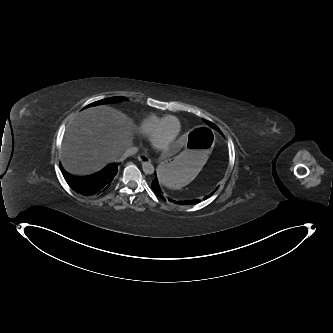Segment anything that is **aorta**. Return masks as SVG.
I'll return each instance as SVG.
<instances>
[{
    "mask_svg": "<svg viewBox=\"0 0 333 333\" xmlns=\"http://www.w3.org/2000/svg\"><path fill=\"white\" fill-rule=\"evenodd\" d=\"M142 169L146 174H153L154 172V166L150 162L143 163Z\"/></svg>",
    "mask_w": 333,
    "mask_h": 333,
    "instance_id": "aorta-1",
    "label": "aorta"
}]
</instances>
